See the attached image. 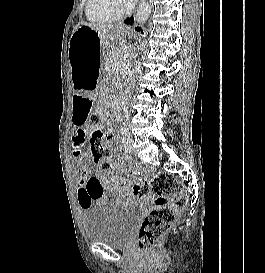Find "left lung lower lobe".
Returning <instances> with one entry per match:
<instances>
[{
	"label": "left lung lower lobe",
	"mask_w": 265,
	"mask_h": 273,
	"mask_svg": "<svg viewBox=\"0 0 265 273\" xmlns=\"http://www.w3.org/2000/svg\"><path fill=\"white\" fill-rule=\"evenodd\" d=\"M137 31H140L141 29L139 27L136 28Z\"/></svg>",
	"instance_id": "obj_1"
}]
</instances>
